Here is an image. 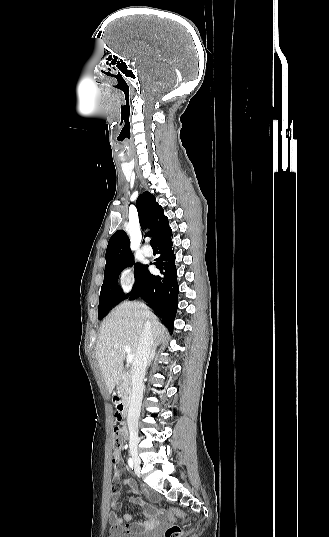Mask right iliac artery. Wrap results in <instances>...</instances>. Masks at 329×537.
Here are the masks:
<instances>
[{
  "mask_svg": "<svg viewBox=\"0 0 329 537\" xmlns=\"http://www.w3.org/2000/svg\"><path fill=\"white\" fill-rule=\"evenodd\" d=\"M133 464H134V463H133L132 458H129V459H128V465H129V467H130L132 470H133Z\"/></svg>",
  "mask_w": 329,
  "mask_h": 537,
  "instance_id": "82829eb1",
  "label": "right iliac artery"
}]
</instances>
